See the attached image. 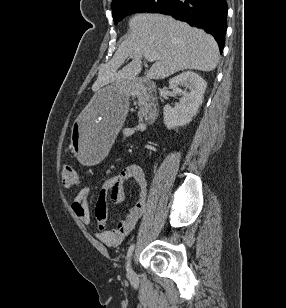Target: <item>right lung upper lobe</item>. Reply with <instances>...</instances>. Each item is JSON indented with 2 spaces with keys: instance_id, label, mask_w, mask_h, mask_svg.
Returning a JSON list of instances; mask_svg holds the SVG:
<instances>
[{
  "instance_id": "cb5924a9",
  "label": "right lung upper lobe",
  "mask_w": 286,
  "mask_h": 308,
  "mask_svg": "<svg viewBox=\"0 0 286 308\" xmlns=\"http://www.w3.org/2000/svg\"><path fill=\"white\" fill-rule=\"evenodd\" d=\"M118 1H120V0H112V5H114Z\"/></svg>"
}]
</instances>
